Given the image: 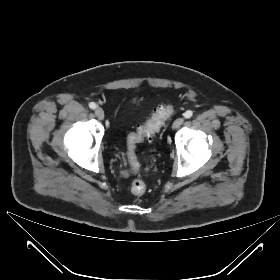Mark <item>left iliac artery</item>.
Segmentation results:
<instances>
[{
  "label": "left iliac artery",
  "mask_w": 280,
  "mask_h": 280,
  "mask_svg": "<svg viewBox=\"0 0 280 280\" xmlns=\"http://www.w3.org/2000/svg\"><path fill=\"white\" fill-rule=\"evenodd\" d=\"M183 115H184V117H185L186 119H189V118H191V117L193 116V111L188 110V111H186Z\"/></svg>",
  "instance_id": "obj_1"
}]
</instances>
